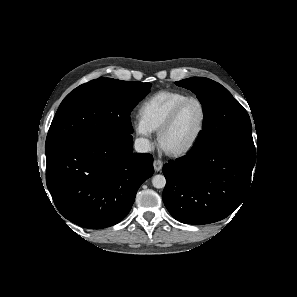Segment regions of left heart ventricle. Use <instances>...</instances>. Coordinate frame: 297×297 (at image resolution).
Listing matches in <instances>:
<instances>
[{"label":"left heart ventricle","mask_w":297,"mask_h":297,"mask_svg":"<svg viewBox=\"0 0 297 297\" xmlns=\"http://www.w3.org/2000/svg\"><path fill=\"white\" fill-rule=\"evenodd\" d=\"M201 122V109L196 102L187 104L175 124L164 135L162 145L167 150H179L189 144Z\"/></svg>","instance_id":"obj_1"}]
</instances>
